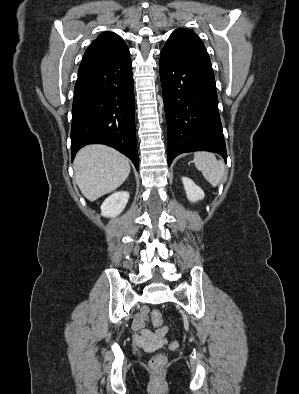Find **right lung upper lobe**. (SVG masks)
I'll return each instance as SVG.
<instances>
[{
	"mask_svg": "<svg viewBox=\"0 0 299 394\" xmlns=\"http://www.w3.org/2000/svg\"><path fill=\"white\" fill-rule=\"evenodd\" d=\"M128 58L129 49L125 42L113 32H104L88 47L79 68Z\"/></svg>",
	"mask_w": 299,
	"mask_h": 394,
	"instance_id": "obj_1",
	"label": "right lung upper lobe"
}]
</instances>
